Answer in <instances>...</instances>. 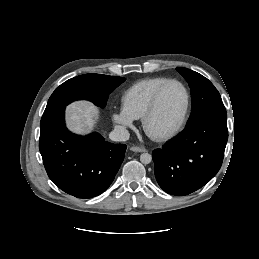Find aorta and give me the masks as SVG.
I'll list each match as a JSON object with an SVG mask.
<instances>
[{"label": "aorta", "instance_id": "1", "mask_svg": "<svg viewBox=\"0 0 259 259\" xmlns=\"http://www.w3.org/2000/svg\"><path fill=\"white\" fill-rule=\"evenodd\" d=\"M140 161L143 164H149L152 161V156L149 153H143L140 156Z\"/></svg>", "mask_w": 259, "mask_h": 259}]
</instances>
